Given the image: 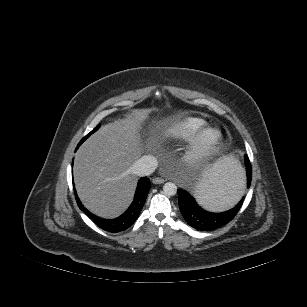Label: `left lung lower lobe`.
Instances as JSON below:
<instances>
[{
    "label": "left lung lower lobe",
    "mask_w": 307,
    "mask_h": 307,
    "mask_svg": "<svg viewBox=\"0 0 307 307\" xmlns=\"http://www.w3.org/2000/svg\"><path fill=\"white\" fill-rule=\"evenodd\" d=\"M245 165L247 170V184L241 186L240 198L245 187H250L252 179V168L248 157L245 155ZM179 208L186 222L193 228L201 231H210L219 228L230 222L240 210L244 197L232 209L221 212L212 213L202 209L195 201L193 196L186 190L178 189ZM239 198V199H240Z\"/></svg>",
    "instance_id": "0a47b994"
}]
</instances>
